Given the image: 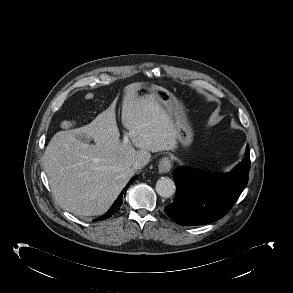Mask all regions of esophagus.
<instances>
[{
	"mask_svg": "<svg viewBox=\"0 0 293 293\" xmlns=\"http://www.w3.org/2000/svg\"><path fill=\"white\" fill-rule=\"evenodd\" d=\"M172 163L169 157H163L159 162V172L160 173H168L171 170Z\"/></svg>",
	"mask_w": 293,
	"mask_h": 293,
	"instance_id": "obj_1",
	"label": "esophagus"
}]
</instances>
